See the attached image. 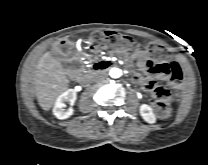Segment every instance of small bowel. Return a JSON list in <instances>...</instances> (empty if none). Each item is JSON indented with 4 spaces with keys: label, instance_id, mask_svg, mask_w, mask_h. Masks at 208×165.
<instances>
[{
    "label": "small bowel",
    "instance_id": "obj_1",
    "mask_svg": "<svg viewBox=\"0 0 208 165\" xmlns=\"http://www.w3.org/2000/svg\"><path fill=\"white\" fill-rule=\"evenodd\" d=\"M136 61L140 72L133 75V80L145 86V88L155 95V90L160 87L153 78H165L170 84H179L185 76L184 67L174 60L154 61L149 59L146 49L138 50L126 58L127 63ZM68 78L77 81L80 78L78 65L70 62L67 65ZM166 116V115H165ZM164 117V116H162Z\"/></svg>",
    "mask_w": 208,
    "mask_h": 165
}]
</instances>
